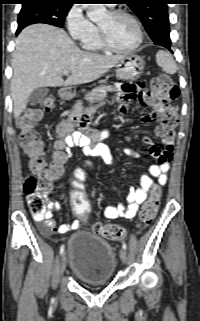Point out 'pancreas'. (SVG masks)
I'll return each instance as SVG.
<instances>
[{
  "label": "pancreas",
  "mask_w": 200,
  "mask_h": 321,
  "mask_svg": "<svg viewBox=\"0 0 200 321\" xmlns=\"http://www.w3.org/2000/svg\"><path fill=\"white\" fill-rule=\"evenodd\" d=\"M101 88H102V89H105L106 87H105V86H102Z\"/></svg>",
  "instance_id": "cf45deb5"
}]
</instances>
